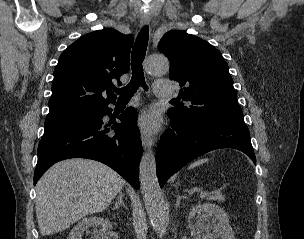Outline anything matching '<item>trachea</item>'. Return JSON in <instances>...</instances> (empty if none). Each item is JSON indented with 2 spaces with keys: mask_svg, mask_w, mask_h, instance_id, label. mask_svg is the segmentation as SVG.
<instances>
[{
  "mask_svg": "<svg viewBox=\"0 0 304 239\" xmlns=\"http://www.w3.org/2000/svg\"><path fill=\"white\" fill-rule=\"evenodd\" d=\"M149 39V27L145 26L138 33L136 42L131 53L132 78L127 86L115 88L114 91L119 95V100H129L136 93L139 86L147 90L145 83L142 63L145 59ZM173 101H177L173 99Z\"/></svg>",
  "mask_w": 304,
  "mask_h": 239,
  "instance_id": "obj_1",
  "label": "trachea"
}]
</instances>
